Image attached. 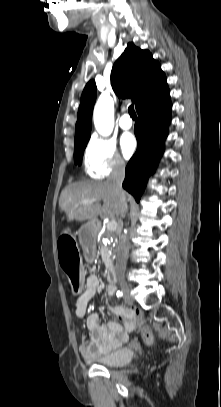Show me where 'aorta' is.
I'll return each instance as SVG.
<instances>
[{"instance_id":"aorta-1","label":"aorta","mask_w":221,"mask_h":407,"mask_svg":"<svg viewBox=\"0 0 221 407\" xmlns=\"http://www.w3.org/2000/svg\"><path fill=\"white\" fill-rule=\"evenodd\" d=\"M94 125L97 132L103 136H109L114 127V105L109 95L102 94L94 108Z\"/></svg>"}]
</instances>
